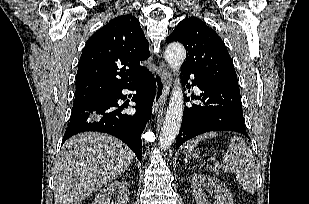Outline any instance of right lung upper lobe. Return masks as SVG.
<instances>
[{
	"label": "right lung upper lobe",
	"mask_w": 309,
	"mask_h": 204,
	"mask_svg": "<svg viewBox=\"0 0 309 204\" xmlns=\"http://www.w3.org/2000/svg\"><path fill=\"white\" fill-rule=\"evenodd\" d=\"M148 41L131 14L112 19L87 41L82 52L74 103L92 99L137 81L148 70Z\"/></svg>",
	"instance_id": "1"
}]
</instances>
